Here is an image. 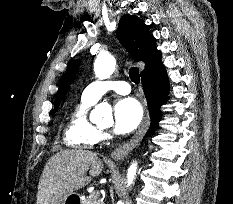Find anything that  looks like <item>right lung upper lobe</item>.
<instances>
[{"label":"right lung upper lobe","mask_w":233,"mask_h":204,"mask_svg":"<svg viewBox=\"0 0 233 204\" xmlns=\"http://www.w3.org/2000/svg\"><path fill=\"white\" fill-rule=\"evenodd\" d=\"M117 38L135 61L145 63L146 67L141 75L162 64L161 52L156 49L154 37L150 34L147 25L135 15L125 14L121 17L117 29ZM79 64L80 60H75L68 66L55 98L54 111L58 109V105L72 82Z\"/></svg>","instance_id":"right-lung-upper-lobe-1"}]
</instances>
